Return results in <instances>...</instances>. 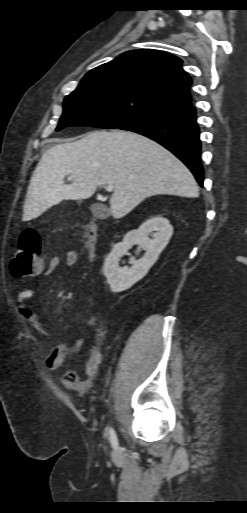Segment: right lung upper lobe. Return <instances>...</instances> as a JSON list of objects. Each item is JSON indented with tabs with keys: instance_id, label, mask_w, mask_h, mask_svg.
Returning a JSON list of instances; mask_svg holds the SVG:
<instances>
[{
	"instance_id": "right-lung-upper-lobe-1",
	"label": "right lung upper lobe",
	"mask_w": 247,
	"mask_h": 513,
	"mask_svg": "<svg viewBox=\"0 0 247 513\" xmlns=\"http://www.w3.org/2000/svg\"><path fill=\"white\" fill-rule=\"evenodd\" d=\"M182 60L156 50L128 51L88 72L79 90L118 88L137 92L167 109L190 105L192 79Z\"/></svg>"
}]
</instances>
